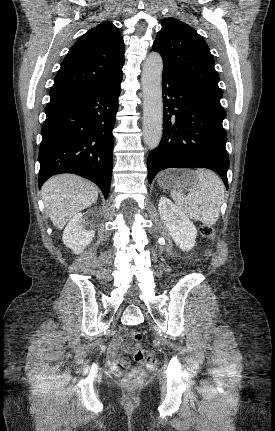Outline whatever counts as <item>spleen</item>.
I'll return each mask as SVG.
<instances>
[{
  "instance_id": "3e777b00",
  "label": "spleen",
  "mask_w": 275,
  "mask_h": 431,
  "mask_svg": "<svg viewBox=\"0 0 275 431\" xmlns=\"http://www.w3.org/2000/svg\"><path fill=\"white\" fill-rule=\"evenodd\" d=\"M191 174L197 181L185 195L180 190H171V197L177 206L191 219L200 220L205 226L216 223L224 201V185L212 171L197 169Z\"/></svg>"
}]
</instances>
